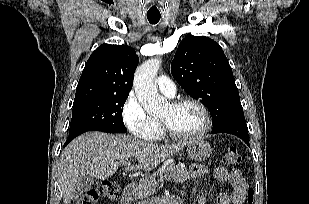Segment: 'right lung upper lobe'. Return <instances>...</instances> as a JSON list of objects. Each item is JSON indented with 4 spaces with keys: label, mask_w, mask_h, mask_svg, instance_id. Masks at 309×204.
I'll list each match as a JSON object with an SVG mask.
<instances>
[{
    "label": "right lung upper lobe",
    "mask_w": 309,
    "mask_h": 204,
    "mask_svg": "<svg viewBox=\"0 0 309 204\" xmlns=\"http://www.w3.org/2000/svg\"><path fill=\"white\" fill-rule=\"evenodd\" d=\"M139 58L127 45H100L89 57L74 103L108 95H129Z\"/></svg>",
    "instance_id": "obj_1"
}]
</instances>
